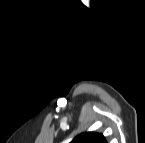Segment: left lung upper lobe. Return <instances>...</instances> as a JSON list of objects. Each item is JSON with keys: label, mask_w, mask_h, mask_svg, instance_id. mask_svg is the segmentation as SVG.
<instances>
[{"label": "left lung upper lobe", "mask_w": 145, "mask_h": 143, "mask_svg": "<svg viewBox=\"0 0 145 143\" xmlns=\"http://www.w3.org/2000/svg\"><path fill=\"white\" fill-rule=\"evenodd\" d=\"M71 143H107L102 134L85 132L77 137Z\"/></svg>", "instance_id": "1"}]
</instances>
